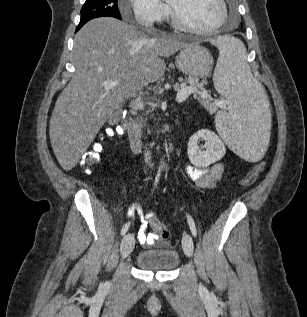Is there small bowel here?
I'll use <instances>...</instances> for the list:
<instances>
[{"label":"small bowel","mask_w":307,"mask_h":317,"mask_svg":"<svg viewBox=\"0 0 307 317\" xmlns=\"http://www.w3.org/2000/svg\"><path fill=\"white\" fill-rule=\"evenodd\" d=\"M223 173L224 165L222 163H216L208 167L188 166L186 168L188 178L200 189L212 188L221 180ZM157 238V234L147 232V221L143 220L137 235L138 241L143 245L150 246L157 240Z\"/></svg>","instance_id":"small-bowel-1"}]
</instances>
